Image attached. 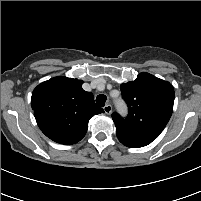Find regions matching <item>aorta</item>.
Wrapping results in <instances>:
<instances>
[{"label":"aorta","mask_w":201,"mask_h":201,"mask_svg":"<svg viewBox=\"0 0 201 201\" xmlns=\"http://www.w3.org/2000/svg\"><path fill=\"white\" fill-rule=\"evenodd\" d=\"M116 105H117L119 108H123V107H124V105H123L122 102H117Z\"/></svg>","instance_id":"1"}]
</instances>
